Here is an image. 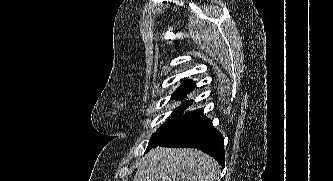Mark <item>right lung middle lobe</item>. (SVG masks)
<instances>
[{
  "instance_id": "dd1d6c3e",
  "label": "right lung middle lobe",
  "mask_w": 333,
  "mask_h": 181,
  "mask_svg": "<svg viewBox=\"0 0 333 181\" xmlns=\"http://www.w3.org/2000/svg\"><path fill=\"white\" fill-rule=\"evenodd\" d=\"M185 108H177L169 118L154 134H152L147 150L158 145L170 144L184 136L196 127L205 116L203 110L190 111L182 115ZM180 115H177V114Z\"/></svg>"
}]
</instances>
